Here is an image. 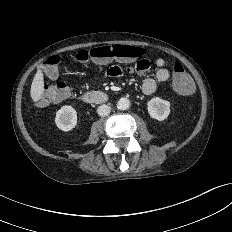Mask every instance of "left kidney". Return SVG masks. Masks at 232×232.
<instances>
[{
  "label": "left kidney",
  "mask_w": 232,
  "mask_h": 232,
  "mask_svg": "<svg viewBox=\"0 0 232 232\" xmlns=\"http://www.w3.org/2000/svg\"><path fill=\"white\" fill-rule=\"evenodd\" d=\"M148 113L151 118L158 121L165 120L170 114V102L159 97H154L148 101Z\"/></svg>",
  "instance_id": "obj_1"
}]
</instances>
